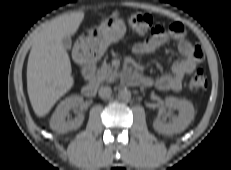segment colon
Returning a JSON list of instances; mask_svg holds the SVG:
<instances>
[{"label": "colon", "instance_id": "colon-1", "mask_svg": "<svg viewBox=\"0 0 231 170\" xmlns=\"http://www.w3.org/2000/svg\"><path fill=\"white\" fill-rule=\"evenodd\" d=\"M130 27L138 34L152 33L162 34L165 29L161 25L154 24L150 15L144 13H133L128 18ZM207 87V79L202 69H196L189 80L188 88L192 92L204 90Z\"/></svg>", "mask_w": 231, "mask_h": 170}]
</instances>
